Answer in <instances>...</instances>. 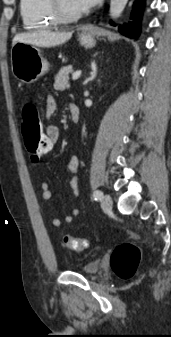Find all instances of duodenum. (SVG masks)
<instances>
[{"instance_id":"duodenum-1","label":"duodenum","mask_w":171,"mask_h":337,"mask_svg":"<svg viewBox=\"0 0 171 337\" xmlns=\"http://www.w3.org/2000/svg\"><path fill=\"white\" fill-rule=\"evenodd\" d=\"M69 110H70V115H71V119H72L73 123H78L79 116H80L78 105L70 104Z\"/></svg>"}]
</instances>
